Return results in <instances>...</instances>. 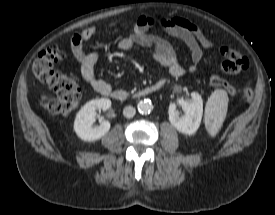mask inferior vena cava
<instances>
[{
    "label": "inferior vena cava",
    "mask_w": 275,
    "mask_h": 215,
    "mask_svg": "<svg viewBox=\"0 0 275 215\" xmlns=\"http://www.w3.org/2000/svg\"><path fill=\"white\" fill-rule=\"evenodd\" d=\"M136 113V110L133 106H126L123 110V115L126 118H132Z\"/></svg>",
    "instance_id": "1"
}]
</instances>
